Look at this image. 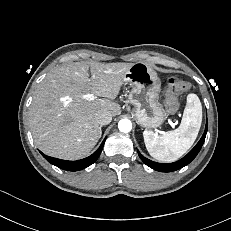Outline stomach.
<instances>
[{
	"label": "stomach",
	"instance_id": "1",
	"mask_svg": "<svg viewBox=\"0 0 231 231\" xmlns=\"http://www.w3.org/2000/svg\"><path fill=\"white\" fill-rule=\"evenodd\" d=\"M123 84L132 87L129 100L135 107V117L140 126L157 128L165 120V112L160 105V81L153 66L134 63L124 74Z\"/></svg>",
	"mask_w": 231,
	"mask_h": 231
}]
</instances>
